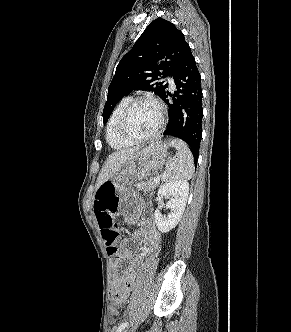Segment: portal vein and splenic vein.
Instances as JSON below:
<instances>
[{
    "label": "portal vein and splenic vein",
    "mask_w": 291,
    "mask_h": 332,
    "mask_svg": "<svg viewBox=\"0 0 291 332\" xmlns=\"http://www.w3.org/2000/svg\"><path fill=\"white\" fill-rule=\"evenodd\" d=\"M153 181H154V183H159L160 182V177L156 176Z\"/></svg>",
    "instance_id": "1"
}]
</instances>
